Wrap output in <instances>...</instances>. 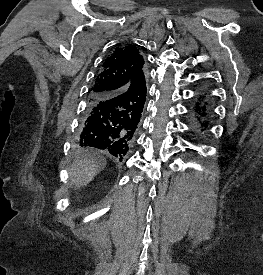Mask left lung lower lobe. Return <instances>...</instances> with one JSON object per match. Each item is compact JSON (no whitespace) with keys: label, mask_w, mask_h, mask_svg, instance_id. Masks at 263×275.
<instances>
[{"label":"left lung lower lobe","mask_w":263,"mask_h":275,"mask_svg":"<svg viewBox=\"0 0 263 275\" xmlns=\"http://www.w3.org/2000/svg\"><path fill=\"white\" fill-rule=\"evenodd\" d=\"M211 116V104L209 101L208 91L200 92L193 107L194 126L198 131H205L208 128Z\"/></svg>","instance_id":"1"}]
</instances>
